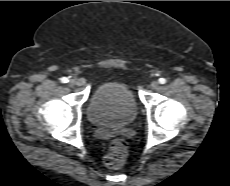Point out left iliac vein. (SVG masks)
Instances as JSON below:
<instances>
[{
    "label": "left iliac vein",
    "mask_w": 230,
    "mask_h": 186,
    "mask_svg": "<svg viewBox=\"0 0 230 186\" xmlns=\"http://www.w3.org/2000/svg\"><path fill=\"white\" fill-rule=\"evenodd\" d=\"M151 89H157L159 87L158 81H153L150 85Z\"/></svg>",
    "instance_id": "obj_1"
}]
</instances>
